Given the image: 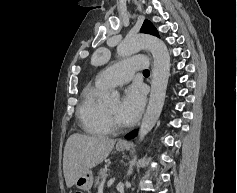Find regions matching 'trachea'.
I'll list each match as a JSON object with an SVG mask.
<instances>
[{
  "instance_id": "3493384b",
  "label": "trachea",
  "mask_w": 237,
  "mask_h": 193,
  "mask_svg": "<svg viewBox=\"0 0 237 193\" xmlns=\"http://www.w3.org/2000/svg\"><path fill=\"white\" fill-rule=\"evenodd\" d=\"M149 73H150V72H149V70H147V69L143 71V74L149 75Z\"/></svg>"
}]
</instances>
